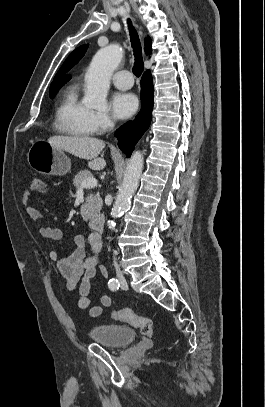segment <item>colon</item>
<instances>
[{
    "label": "colon",
    "instance_id": "colon-1",
    "mask_svg": "<svg viewBox=\"0 0 265 407\" xmlns=\"http://www.w3.org/2000/svg\"><path fill=\"white\" fill-rule=\"evenodd\" d=\"M31 188L39 193L46 190V185L41 176L34 175L31 180ZM115 320L125 321L131 326L138 328L142 334L152 336L154 332L153 321L149 318L135 314L129 309L117 310L112 313Z\"/></svg>",
    "mask_w": 265,
    "mask_h": 407
}]
</instances>
